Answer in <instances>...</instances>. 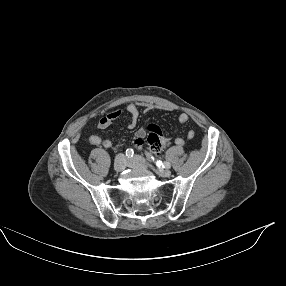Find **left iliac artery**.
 Instances as JSON below:
<instances>
[{"label":"left iliac artery","mask_w":286,"mask_h":286,"mask_svg":"<svg viewBox=\"0 0 286 286\" xmlns=\"http://www.w3.org/2000/svg\"><path fill=\"white\" fill-rule=\"evenodd\" d=\"M157 166H161L163 168L169 169L171 167V164L167 161L162 162V161H157Z\"/></svg>","instance_id":"44dca946"}]
</instances>
